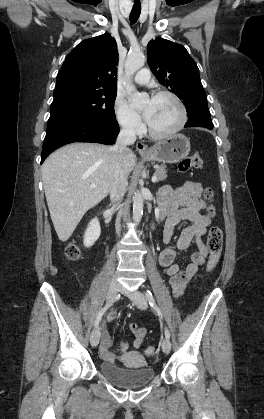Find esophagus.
<instances>
[{
    "instance_id": "obj_1",
    "label": "esophagus",
    "mask_w": 264,
    "mask_h": 419,
    "mask_svg": "<svg viewBox=\"0 0 264 419\" xmlns=\"http://www.w3.org/2000/svg\"><path fill=\"white\" fill-rule=\"evenodd\" d=\"M137 152L140 155H145V154H149L150 153V149L148 148V146L146 144H144L143 142H139L137 144Z\"/></svg>"
}]
</instances>
